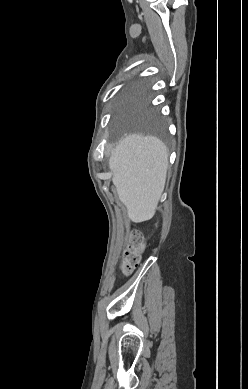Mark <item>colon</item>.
Wrapping results in <instances>:
<instances>
[{
	"instance_id": "colon-1",
	"label": "colon",
	"mask_w": 248,
	"mask_h": 389,
	"mask_svg": "<svg viewBox=\"0 0 248 389\" xmlns=\"http://www.w3.org/2000/svg\"><path fill=\"white\" fill-rule=\"evenodd\" d=\"M143 248V237L137 231H133L130 235L128 247L125 252V258L121 265V269L125 274L132 272L138 265Z\"/></svg>"
}]
</instances>
